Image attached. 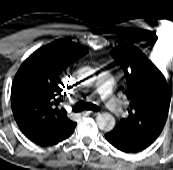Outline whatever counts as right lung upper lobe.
Wrapping results in <instances>:
<instances>
[{"instance_id": "cb5924a9", "label": "right lung upper lobe", "mask_w": 173, "mask_h": 170, "mask_svg": "<svg viewBox=\"0 0 173 170\" xmlns=\"http://www.w3.org/2000/svg\"><path fill=\"white\" fill-rule=\"evenodd\" d=\"M86 48L56 40L30 55L20 66L11 89L14 118L33 142L53 139L76 125L61 109L60 76Z\"/></svg>"}]
</instances>
